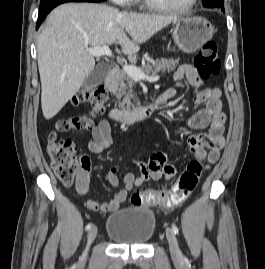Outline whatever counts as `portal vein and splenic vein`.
I'll list each match as a JSON object with an SVG mask.
<instances>
[{
    "label": "portal vein and splenic vein",
    "mask_w": 265,
    "mask_h": 269,
    "mask_svg": "<svg viewBox=\"0 0 265 269\" xmlns=\"http://www.w3.org/2000/svg\"><path fill=\"white\" fill-rule=\"evenodd\" d=\"M86 51L95 57L108 56L112 57L113 54L107 45L102 47H86ZM123 70L135 81H148L154 83L159 80V76H146L139 68L134 65H123Z\"/></svg>",
    "instance_id": "portal-vein-and-splenic-vein-1"
}]
</instances>
